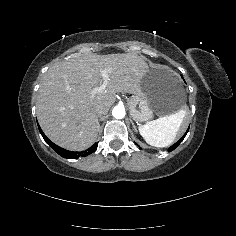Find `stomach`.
<instances>
[{
	"instance_id": "1",
	"label": "stomach",
	"mask_w": 236,
	"mask_h": 236,
	"mask_svg": "<svg viewBox=\"0 0 236 236\" xmlns=\"http://www.w3.org/2000/svg\"><path fill=\"white\" fill-rule=\"evenodd\" d=\"M185 104L186 93L180 79L163 68L149 69L128 100L130 116L138 123L150 121L154 114H175Z\"/></svg>"
}]
</instances>
